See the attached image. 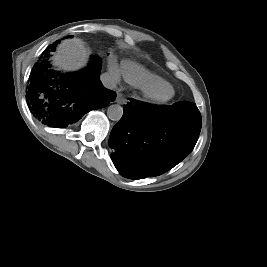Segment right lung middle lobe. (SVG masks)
Returning <instances> with one entry per match:
<instances>
[{"label":"right lung middle lobe","instance_id":"obj_1","mask_svg":"<svg viewBox=\"0 0 267 267\" xmlns=\"http://www.w3.org/2000/svg\"><path fill=\"white\" fill-rule=\"evenodd\" d=\"M68 37H69V36H68ZM57 43H59V41L55 42L53 45H55V44H57Z\"/></svg>","mask_w":267,"mask_h":267}]
</instances>
